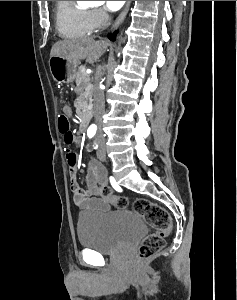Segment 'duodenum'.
<instances>
[{
	"label": "duodenum",
	"instance_id": "410a0bca",
	"mask_svg": "<svg viewBox=\"0 0 237 300\" xmlns=\"http://www.w3.org/2000/svg\"><path fill=\"white\" fill-rule=\"evenodd\" d=\"M88 128V118L84 115L80 117L78 129L80 133H85Z\"/></svg>",
	"mask_w": 237,
	"mask_h": 300
}]
</instances>
